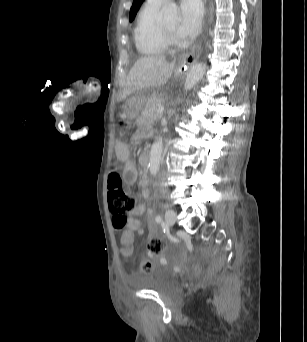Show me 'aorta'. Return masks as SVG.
I'll use <instances>...</instances> for the list:
<instances>
[{
    "label": "aorta",
    "instance_id": "1",
    "mask_svg": "<svg viewBox=\"0 0 307 342\" xmlns=\"http://www.w3.org/2000/svg\"><path fill=\"white\" fill-rule=\"evenodd\" d=\"M162 20L164 24H179L181 18L179 16V10L177 4L175 2H168V4H163L161 8ZM205 64H195L192 66L190 72H188L185 82H184V94H187L189 90H192L196 84H198L199 80H201L204 72H205ZM163 152V142L162 138H158L154 144L151 146L150 150V160H149V172L156 176L159 172L160 162L162 158Z\"/></svg>",
    "mask_w": 307,
    "mask_h": 342
}]
</instances>
